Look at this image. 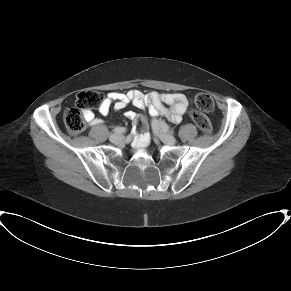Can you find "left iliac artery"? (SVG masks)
<instances>
[{
	"instance_id": "left-iliac-artery-1",
	"label": "left iliac artery",
	"mask_w": 291,
	"mask_h": 291,
	"mask_svg": "<svg viewBox=\"0 0 291 291\" xmlns=\"http://www.w3.org/2000/svg\"><path fill=\"white\" fill-rule=\"evenodd\" d=\"M162 129L165 131H168V130H170V127L167 124H163Z\"/></svg>"
}]
</instances>
